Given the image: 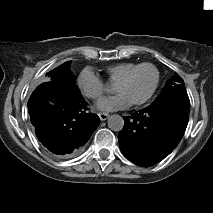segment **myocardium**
Segmentation results:
<instances>
[{
    "label": "myocardium",
    "mask_w": 213,
    "mask_h": 213,
    "mask_svg": "<svg viewBox=\"0 0 213 213\" xmlns=\"http://www.w3.org/2000/svg\"><path fill=\"white\" fill-rule=\"evenodd\" d=\"M146 68H149L152 70V72L154 73V80H153V84L149 90V92L137 99V100H133V101H130V104L131 105H141V104H144L145 102H147L154 94L157 86H158V82H159V71L158 69L156 68V66H154L153 64L151 63H142L141 65L133 68L131 71H129L127 74H125L123 77H121L115 84H122V83H125L127 81H129L131 79V77L136 74L137 72L143 70V69H146Z\"/></svg>",
    "instance_id": "myocardium-1"
}]
</instances>
